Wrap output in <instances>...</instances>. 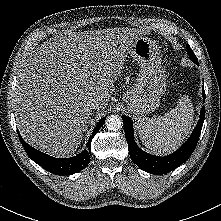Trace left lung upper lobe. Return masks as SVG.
<instances>
[{
	"label": "left lung upper lobe",
	"mask_w": 221,
	"mask_h": 221,
	"mask_svg": "<svg viewBox=\"0 0 221 221\" xmlns=\"http://www.w3.org/2000/svg\"><path fill=\"white\" fill-rule=\"evenodd\" d=\"M186 48H187V53L190 57V59L195 63V64H198V59L197 57L195 56V54L193 53V51L191 50L190 46L187 44L186 45Z\"/></svg>",
	"instance_id": "5c2ea615"
}]
</instances>
